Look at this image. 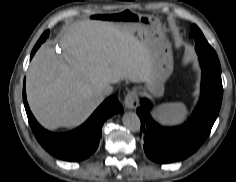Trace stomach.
Listing matches in <instances>:
<instances>
[{"label": "stomach", "mask_w": 236, "mask_h": 182, "mask_svg": "<svg viewBox=\"0 0 236 182\" xmlns=\"http://www.w3.org/2000/svg\"><path fill=\"white\" fill-rule=\"evenodd\" d=\"M90 19L95 24L127 28L131 33L137 32L152 50L153 68L148 81L139 90L143 94L161 97L164 93V83L173 72L174 61L171 44L166 36L160 20L152 15H145L132 10L122 12L102 13L95 11Z\"/></svg>", "instance_id": "obj_1"}]
</instances>
